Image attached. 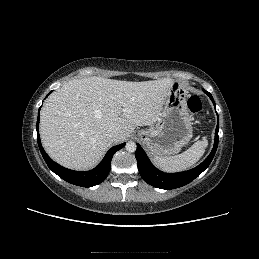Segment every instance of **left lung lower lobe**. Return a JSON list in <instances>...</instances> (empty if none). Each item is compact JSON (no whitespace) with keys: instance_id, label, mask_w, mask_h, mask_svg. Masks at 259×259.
Returning a JSON list of instances; mask_svg holds the SVG:
<instances>
[{"instance_id":"0a47b994","label":"left lung lower lobe","mask_w":259,"mask_h":259,"mask_svg":"<svg viewBox=\"0 0 259 259\" xmlns=\"http://www.w3.org/2000/svg\"><path fill=\"white\" fill-rule=\"evenodd\" d=\"M203 91L205 94L209 96L216 109V105L212 95L204 89ZM218 131H219V121L217 122V127L215 130L214 146L210 155L194 169L184 171V172H179V173H164L158 170L157 168H155L150 162L149 158L147 157L142 147L139 144H137L135 157L137 159L138 170L141 177L146 183L150 184L151 186L160 188V189H166V190L182 187L190 183L196 177H198L211 163L218 147Z\"/></svg>"}]
</instances>
